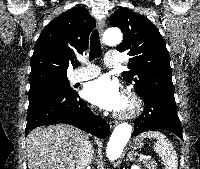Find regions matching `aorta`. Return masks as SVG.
<instances>
[{
    "instance_id": "obj_1",
    "label": "aorta",
    "mask_w": 200,
    "mask_h": 169,
    "mask_svg": "<svg viewBox=\"0 0 200 169\" xmlns=\"http://www.w3.org/2000/svg\"><path fill=\"white\" fill-rule=\"evenodd\" d=\"M121 41L122 33L118 29H109L103 35V43L105 45L114 46L120 44ZM131 134L132 126L128 123H121L114 128L106 149V155L110 161L120 157Z\"/></svg>"
}]
</instances>
